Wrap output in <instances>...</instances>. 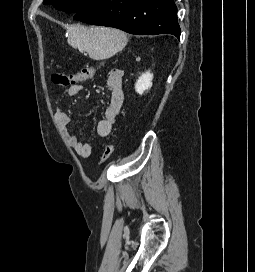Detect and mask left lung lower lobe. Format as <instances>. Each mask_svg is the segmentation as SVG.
<instances>
[{
    "instance_id": "obj_1",
    "label": "left lung lower lobe",
    "mask_w": 255,
    "mask_h": 272,
    "mask_svg": "<svg viewBox=\"0 0 255 272\" xmlns=\"http://www.w3.org/2000/svg\"><path fill=\"white\" fill-rule=\"evenodd\" d=\"M75 20L121 29L131 34H172L180 39L173 0H95Z\"/></svg>"
}]
</instances>
